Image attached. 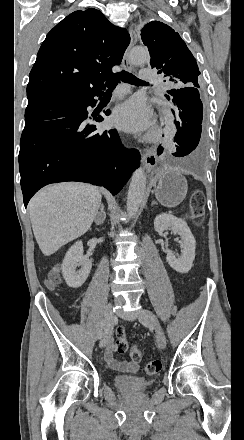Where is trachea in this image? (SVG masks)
<instances>
[{"label": "trachea", "mask_w": 244, "mask_h": 440, "mask_svg": "<svg viewBox=\"0 0 244 440\" xmlns=\"http://www.w3.org/2000/svg\"><path fill=\"white\" fill-rule=\"evenodd\" d=\"M120 80L125 83H131V85H141L145 82L139 80V78L135 77L132 73H128L125 71L117 73L114 77L110 78L106 83L108 87L107 92H111L114 88L120 83Z\"/></svg>", "instance_id": "1"}]
</instances>
